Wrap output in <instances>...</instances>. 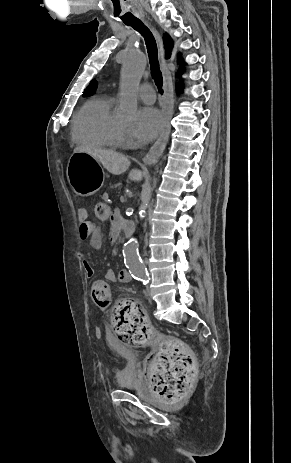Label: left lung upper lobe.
<instances>
[{"instance_id":"obj_1","label":"left lung upper lobe","mask_w":291,"mask_h":463,"mask_svg":"<svg viewBox=\"0 0 291 463\" xmlns=\"http://www.w3.org/2000/svg\"><path fill=\"white\" fill-rule=\"evenodd\" d=\"M97 87V81L96 80H92L90 82V86L87 87V89H85V92H84V96H91L93 95V93L95 92V89Z\"/></svg>"}]
</instances>
